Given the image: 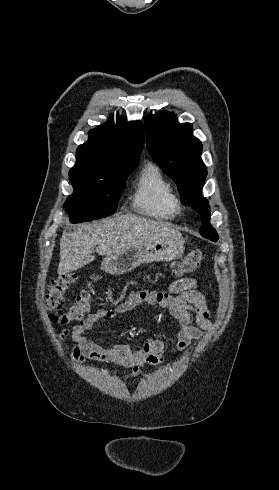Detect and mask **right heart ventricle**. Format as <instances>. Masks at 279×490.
<instances>
[{
    "label": "right heart ventricle",
    "mask_w": 279,
    "mask_h": 490,
    "mask_svg": "<svg viewBox=\"0 0 279 490\" xmlns=\"http://www.w3.org/2000/svg\"><path fill=\"white\" fill-rule=\"evenodd\" d=\"M133 204L139 213L157 220H174L183 211L176 185L154 162H149L142 168L137 179Z\"/></svg>",
    "instance_id": "obj_1"
}]
</instances>
